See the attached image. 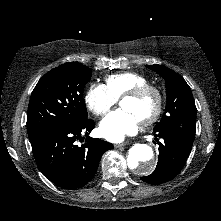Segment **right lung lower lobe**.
<instances>
[{
  "label": "right lung lower lobe",
  "mask_w": 221,
  "mask_h": 221,
  "mask_svg": "<svg viewBox=\"0 0 221 221\" xmlns=\"http://www.w3.org/2000/svg\"><path fill=\"white\" fill-rule=\"evenodd\" d=\"M95 127L89 118L68 128L43 132L30 139L33 154L40 171L54 184L66 189L86 185L96 174L102 155L113 148L109 142L91 138ZM85 143L76 145V141Z\"/></svg>",
  "instance_id": "obj_1"
}]
</instances>
